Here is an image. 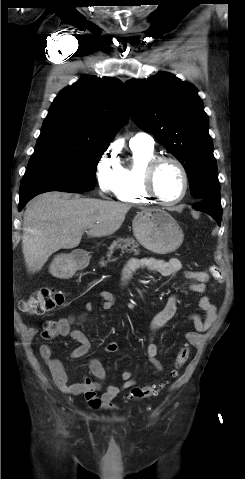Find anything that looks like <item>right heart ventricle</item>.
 Instances as JSON below:
<instances>
[{
	"mask_svg": "<svg viewBox=\"0 0 245 479\" xmlns=\"http://www.w3.org/2000/svg\"><path fill=\"white\" fill-rule=\"evenodd\" d=\"M131 162L121 167L115 195L118 200L127 203H149L153 199L145 192L143 186L144 169L156 156L154 148L130 145Z\"/></svg>",
	"mask_w": 245,
	"mask_h": 479,
	"instance_id": "obj_1",
	"label": "right heart ventricle"
}]
</instances>
